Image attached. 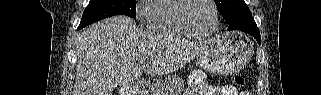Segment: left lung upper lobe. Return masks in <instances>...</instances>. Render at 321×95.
<instances>
[{
    "label": "left lung upper lobe",
    "mask_w": 321,
    "mask_h": 95,
    "mask_svg": "<svg viewBox=\"0 0 321 95\" xmlns=\"http://www.w3.org/2000/svg\"><path fill=\"white\" fill-rule=\"evenodd\" d=\"M223 18L231 23L241 17L251 15L244 0H214Z\"/></svg>",
    "instance_id": "obj_1"
}]
</instances>
